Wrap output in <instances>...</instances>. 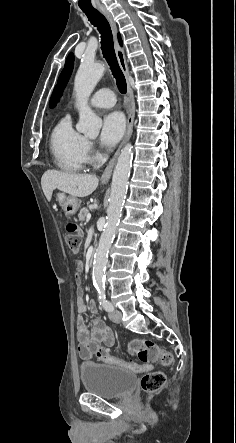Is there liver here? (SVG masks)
Listing matches in <instances>:
<instances>
[{"label": "liver", "instance_id": "liver-1", "mask_svg": "<svg viewBox=\"0 0 236 443\" xmlns=\"http://www.w3.org/2000/svg\"><path fill=\"white\" fill-rule=\"evenodd\" d=\"M98 178L90 174H74L47 170L41 178V186L48 201L56 188L74 197H86L98 186Z\"/></svg>", "mask_w": 236, "mask_h": 443}]
</instances>
